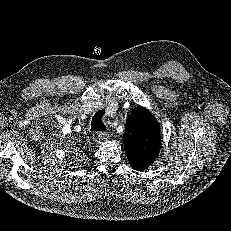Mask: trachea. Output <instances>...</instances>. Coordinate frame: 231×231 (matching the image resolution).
Instances as JSON below:
<instances>
[{
    "label": "trachea",
    "mask_w": 231,
    "mask_h": 231,
    "mask_svg": "<svg viewBox=\"0 0 231 231\" xmlns=\"http://www.w3.org/2000/svg\"><path fill=\"white\" fill-rule=\"evenodd\" d=\"M105 111L101 110L98 111L92 118L91 122V131H105L106 126L102 121V116L104 115Z\"/></svg>",
    "instance_id": "3493384b"
}]
</instances>
